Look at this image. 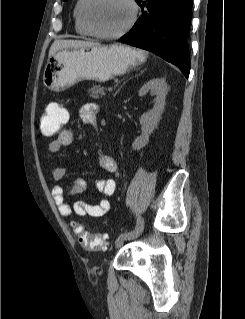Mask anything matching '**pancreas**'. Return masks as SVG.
<instances>
[{"label": "pancreas", "mask_w": 245, "mask_h": 319, "mask_svg": "<svg viewBox=\"0 0 245 319\" xmlns=\"http://www.w3.org/2000/svg\"><path fill=\"white\" fill-rule=\"evenodd\" d=\"M90 97L97 99L99 97H103L107 94V90L105 87H101L100 85H95L88 90Z\"/></svg>", "instance_id": "pancreas-1"}]
</instances>
